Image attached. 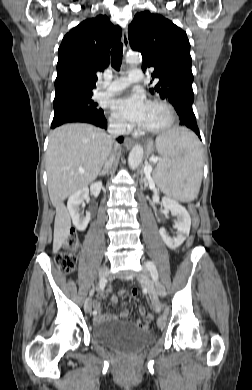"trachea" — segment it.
<instances>
[{"instance_id":"1","label":"trachea","mask_w":252,"mask_h":390,"mask_svg":"<svg viewBox=\"0 0 252 390\" xmlns=\"http://www.w3.org/2000/svg\"><path fill=\"white\" fill-rule=\"evenodd\" d=\"M123 44H117L111 50V64L115 70H119L122 63Z\"/></svg>"}]
</instances>
